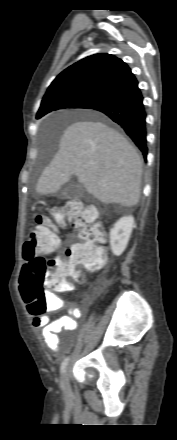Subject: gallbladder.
Segmentation results:
<instances>
[{
  "label": "gallbladder",
  "instance_id": "bac80fb5",
  "mask_svg": "<svg viewBox=\"0 0 177 440\" xmlns=\"http://www.w3.org/2000/svg\"><path fill=\"white\" fill-rule=\"evenodd\" d=\"M83 194H84L83 186L78 183L71 182L64 189L61 196L67 199H74L83 196Z\"/></svg>",
  "mask_w": 177,
  "mask_h": 440
}]
</instances>
